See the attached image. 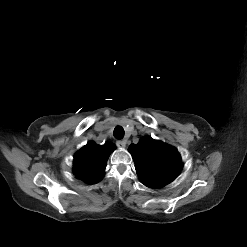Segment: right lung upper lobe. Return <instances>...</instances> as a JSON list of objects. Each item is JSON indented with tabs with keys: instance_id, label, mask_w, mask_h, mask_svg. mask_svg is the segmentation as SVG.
<instances>
[{
	"instance_id": "right-lung-upper-lobe-1",
	"label": "right lung upper lobe",
	"mask_w": 247,
	"mask_h": 247,
	"mask_svg": "<svg viewBox=\"0 0 247 247\" xmlns=\"http://www.w3.org/2000/svg\"><path fill=\"white\" fill-rule=\"evenodd\" d=\"M115 149L112 143L97 145L89 142L74 156L73 171L76 177L88 183H97L104 175L109 154Z\"/></svg>"
}]
</instances>
